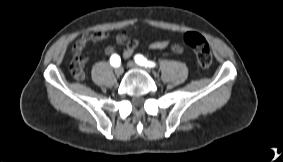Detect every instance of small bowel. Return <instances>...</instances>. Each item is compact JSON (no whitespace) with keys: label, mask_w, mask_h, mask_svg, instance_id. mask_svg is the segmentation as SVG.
Listing matches in <instances>:
<instances>
[{"label":"small bowel","mask_w":283,"mask_h":162,"mask_svg":"<svg viewBox=\"0 0 283 162\" xmlns=\"http://www.w3.org/2000/svg\"><path fill=\"white\" fill-rule=\"evenodd\" d=\"M109 38V34L105 31H97L94 33H85L83 34L73 45L72 53H73V60L71 64V70L75 68H80L83 70L84 66L88 62V58L82 55L84 48L89 43H98L101 41H105ZM115 41L119 45L125 46L122 55L124 57H130L135 48L138 46V41L136 39L131 38L126 33H119L115 37ZM149 49L153 50H163L166 48H170L171 51L175 54H182L183 49L181 46L174 44L170 45L169 41L167 40H158L148 44ZM105 53L108 56H112L115 53V49L112 46H108L105 49Z\"/></svg>","instance_id":"c3829d8e"}]
</instances>
